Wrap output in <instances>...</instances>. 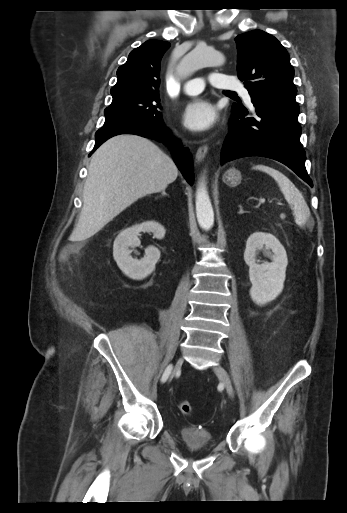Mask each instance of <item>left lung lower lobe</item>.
Listing matches in <instances>:
<instances>
[{
	"instance_id": "1",
	"label": "left lung lower lobe",
	"mask_w": 347,
	"mask_h": 513,
	"mask_svg": "<svg viewBox=\"0 0 347 513\" xmlns=\"http://www.w3.org/2000/svg\"><path fill=\"white\" fill-rule=\"evenodd\" d=\"M252 112L232 107L229 132L221 151V164L245 156H263L292 169L311 187L306 154L300 143L299 106L293 97H251Z\"/></svg>"
}]
</instances>
